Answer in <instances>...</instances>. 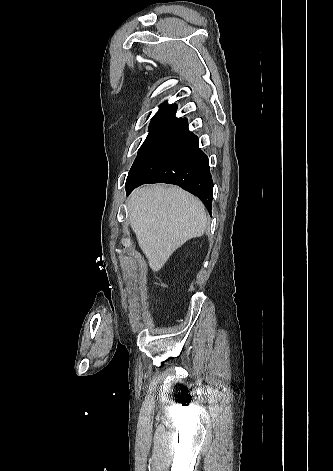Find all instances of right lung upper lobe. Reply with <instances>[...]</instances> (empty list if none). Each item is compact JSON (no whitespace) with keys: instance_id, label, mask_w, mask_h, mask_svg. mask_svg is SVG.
<instances>
[{"instance_id":"1","label":"right lung upper lobe","mask_w":333,"mask_h":471,"mask_svg":"<svg viewBox=\"0 0 333 471\" xmlns=\"http://www.w3.org/2000/svg\"><path fill=\"white\" fill-rule=\"evenodd\" d=\"M176 109H177L176 104L167 105V103L164 102L161 105L159 112L154 116V118L173 120L177 122L181 120V118L175 117Z\"/></svg>"}]
</instances>
